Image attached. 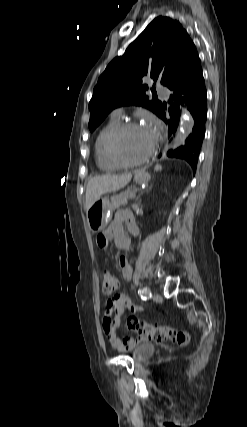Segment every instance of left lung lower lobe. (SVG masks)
Here are the masks:
<instances>
[{"mask_svg": "<svg viewBox=\"0 0 247 427\" xmlns=\"http://www.w3.org/2000/svg\"><path fill=\"white\" fill-rule=\"evenodd\" d=\"M168 88L172 91L169 99L170 107L167 110L170 118H166V105L163 106L159 117L168 124L169 136L176 132L179 124L180 101L187 105L195 124L185 144L176 150L168 151L167 155L187 160L195 172L207 119V92L200 59L198 58L191 69Z\"/></svg>", "mask_w": 247, "mask_h": 427, "instance_id": "0a47b994", "label": "left lung lower lobe"}]
</instances>
